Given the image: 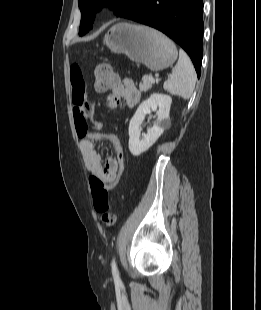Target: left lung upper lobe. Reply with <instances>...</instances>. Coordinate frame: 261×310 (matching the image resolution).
<instances>
[{
  "label": "left lung upper lobe",
  "mask_w": 261,
  "mask_h": 310,
  "mask_svg": "<svg viewBox=\"0 0 261 310\" xmlns=\"http://www.w3.org/2000/svg\"><path fill=\"white\" fill-rule=\"evenodd\" d=\"M135 0H79L81 10V23L79 35L87 33L94 22L96 12L103 6L115 8L117 16L124 17L131 10Z\"/></svg>",
  "instance_id": "obj_1"
}]
</instances>
